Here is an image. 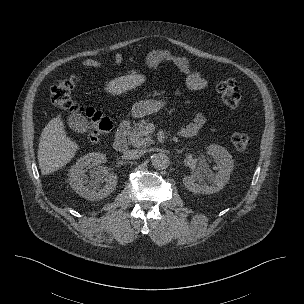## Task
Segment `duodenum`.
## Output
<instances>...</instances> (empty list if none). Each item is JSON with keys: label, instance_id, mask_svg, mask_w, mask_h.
Here are the masks:
<instances>
[{"label": "duodenum", "instance_id": "obj_1", "mask_svg": "<svg viewBox=\"0 0 304 304\" xmlns=\"http://www.w3.org/2000/svg\"><path fill=\"white\" fill-rule=\"evenodd\" d=\"M130 126L131 124L129 121H123L117 128L114 148L118 152H125L128 149V133Z\"/></svg>", "mask_w": 304, "mask_h": 304}]
</instances>
